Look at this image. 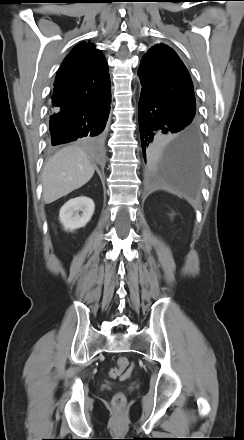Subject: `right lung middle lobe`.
Instances as JSON below:
<instances>
[{
  "instance_id": "obj_1",
  "label": "right lung middle lobe",
  "mask_w": 244,
  "mask_h": 440,
  "mask_svg": "<svg viewBox=\"0 0 244 440\" xmlns=\"http://www.w3.org/2000/svg\"><path fill=\"white\" fill-rule=\"evenodd\" d=\"M84 140L88 142H98L101 140V137H87Z\"/></svg>"
}]
</instances>
